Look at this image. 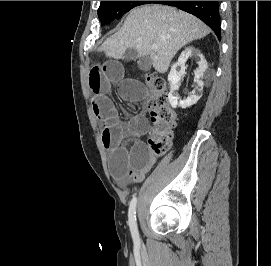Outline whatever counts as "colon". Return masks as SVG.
Listing matches in <instances>:
<instances>
[{
  "mask_svg": "<svg viewBox=\"0 0 271 266\" xmlns=\"http://www.w3.org/2000/svg\"><path fill=\"white\" fill-rule=\"evenodd\" d=\"M144 83L152 94L150 116L153 128L148 138L149 150L154 156H161L172 143L177 116L170 106L165 80L154 73H147Z\"/></svg>",
  "mask_w": 271,
  "mask_h": 266,
  "instance_id": "1",
  "label": "colon"
}]
</instances>
